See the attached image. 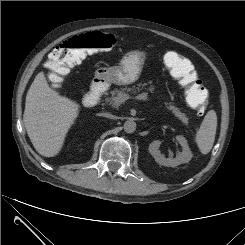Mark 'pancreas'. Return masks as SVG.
<instances>
[{
    "label": "pancreas",
    "mask_w": 245,
    "mask_h": 245,
    "mask_svg": "<svg viewBox=\"0 0 245 245\" xmlns=\"http://www.w3.org/2000/svg\"><path fill=\"white\" fill-rule=\"evenodd\" d=\"M145 85L146 84L138 85L139 87H137V88H135V87H133V88H127V87H125V88H121V89H114V90L110 91L111 96H107L105 98V103H108V104H111V105H115V99H116V97H118L121 94H127L129 92L132 93V94H135L137 89L140 90ZM149 90L150 91H154V86L151 85V87L149 88ZM166 107H167L168 110L172 111V113L175 115V117H177L183 123H185V124L188 123V118L186 117V114L185 113H182L178 107L173 106L171 103H166Z\"/></svg>",
    "instance_id": "obj_1"
}]
</instances>
